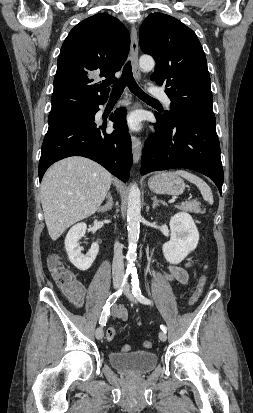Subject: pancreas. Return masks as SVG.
<instances>
[{
  "label": "pancreas",
  "instance_id": "obj_1",
  "mask_svg": "<svg viewBox=\"0 0 253 413\" xmlns=\"http://www.w3.org/2000/svg\"><path fill=\"white\" fill-rule=\"evenodd\" d=\"M200 206H201V203L199 201L191 200V201L182 202L176 207L180 210L187 211V212L201 213L202 210Z\"/></svg>",
  "mask_w": 253,
  "mask_h": 413
}]
</instances>
